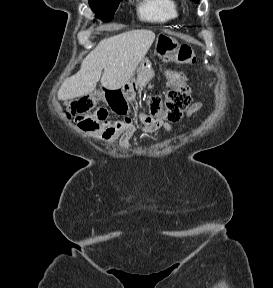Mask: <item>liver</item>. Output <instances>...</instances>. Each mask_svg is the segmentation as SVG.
<instances>
[{"instance_id": "obj_1", "label": "liver", "mask_w": 273, "mask_h": 288, "mask_svg": "<svg viewBox=\"0 0 273 288\" xmlns=\"http://www.w3.org/2000/svg\"><path fill=\"white\" fill-rule=\"evenodd\" d=\"M154 40L155 33L146 29L101 40L83 60L80 70L63 82L58 99L67 101L88 95L95 90L100 78L102 86L108 90L123 87L133 77Z\"/></svg>"}]
</instances>
